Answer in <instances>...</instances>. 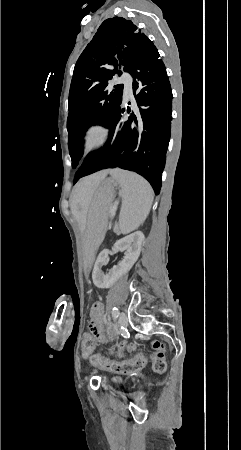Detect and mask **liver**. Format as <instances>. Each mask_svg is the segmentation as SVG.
<instances>
[{
	"mask_svg": "<svg viewBox=\"0 0 241 450\" xmlns=\"http://www.w3.org/2000/svg\"><path fill=\"white\" fill-rule=\"evenodd\" d=\"M107 174H110V170H102L87 178H81L74 186L71 196V210L75 212L78 208H83L84 214L88 210V206L102 180H105Z\"/></svg>",
	"mask_w": 241,
	"mask_h": 450,
	"instance_id": "liver-1",
	"label": "liver"
}]
</instances>
